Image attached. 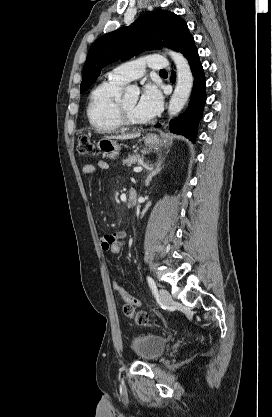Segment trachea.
<instances>
[{
    "label": "trachea",
    "mask_w": 272,
    "mask_h": 417,
    "mask_svg": "<svg viewBox=\"0 0 272 417\" xmlns=\"http://www.w3.org/2000/svg\"><path fill=\"white\" fill-rule=\"evenodd\" d=\"M160 73H167V71L166 70H161Z\"/></svg>",
    "instance_id": "trachea-1"
}]
</instances>
